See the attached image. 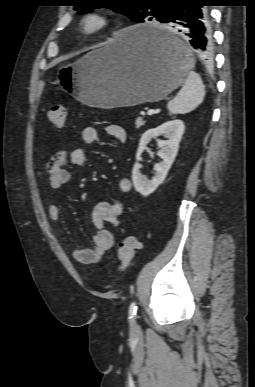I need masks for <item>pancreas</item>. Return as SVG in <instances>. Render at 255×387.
<instances>
[{
    "mask_svg": "<svg viewBox=\"0 0 255 387\" xmlns=\"http://www.w3.org/2000/svg\"><path fill=\"white\" fill-rule=\"evenodd\" d=\"M143 125H144V120H143L142 118L139 117V118L136 120V122H135V127H136L137 129H139V128H141Z\"/></svg>",
    "mask_w": 255,
    "mask_h": 387,
    "instance_id": "cf45deb5",
    "label": "pancreas"
}]
</instances>
